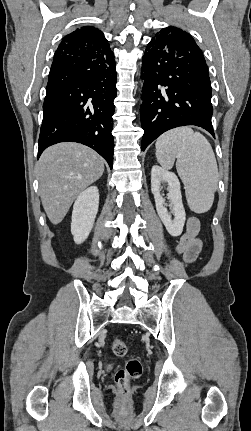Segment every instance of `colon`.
<instances>
[{"label": "colon", "instance_id": "obj_1", "mask_svg": "<svg viewBox=\"0 0 251 431\" xmlns=\"http://www.w3.org/2000/svg\"><path fill=\"white\" fill-rule=\"evenodd\" d=\"M111 349L118 357H124L127 354V346L120 338H115L112 341ZM142 371L143 367L140 360L138 358H130L126 361L125 366L115 373V383L122 396L127 394L130 382L140 377Z\"/></svg>", "mask_w": 251, "mask_h": 431}]
</instances>
